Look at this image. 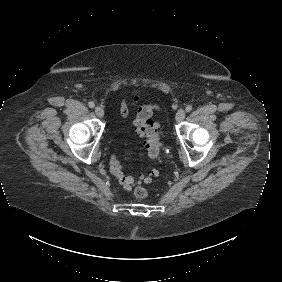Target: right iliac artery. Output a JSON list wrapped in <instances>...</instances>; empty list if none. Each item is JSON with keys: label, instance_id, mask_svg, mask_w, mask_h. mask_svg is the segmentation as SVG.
Masks as SVG:
<instances>
[{"label": "right iliac artery", "instance_id": "82829eb1", "mask_svg": "<svg viewBox=\"0 0 282 282\" xmlns=\"http://www.w3.org/2000/svg\"><path fill=\"white\" fill-rule=\"evenodd\" d=\"M88 106H89L90 108H94L95 104H94L92 101H90V102L88 103Z\"/></svg>", "mask_w": 282, "mask_h": 282}]
</instances>
